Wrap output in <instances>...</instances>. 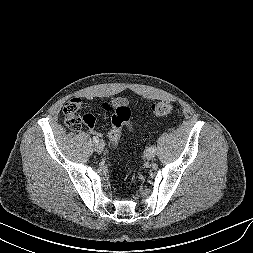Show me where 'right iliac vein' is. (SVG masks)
Here are the masks:
<instances>
[{"mask_svg": "<svg viewBox=\"0 0 253 253\" xmlns=\"http://www.w3.org/2000/svg\"><path fill=\"white\" fill-rule=\"evenodd\" d=\"M104 147H105V144H104L103 141H98V142L95 143V145H94V149H95L97 152L103 151Z\"/></svg>", "mask_w": 253, "mask_h": 253, "instance_id": "1", "label": "right iliac vein"}]
</instances>
